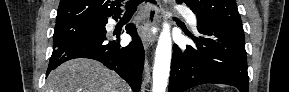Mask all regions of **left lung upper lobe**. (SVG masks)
<instances>
[{
    "label": "left lung upper lobe",
    "mask_w": 289,
    "mask_h": 92,
    "mask_svg": "<svg viewBox=\"0 0 289 92\" xmlns=\"http://www.w3.org/2000/svg\"><path fill=\"white\" fill-rule=\"evenodd\" d=\"M184 2L196 14L198 20L213 21L242 27L236 0H176Z\"/></svg>",
    "instance_id": "left-lung-upper-lobe-1"
}]
</instances>
